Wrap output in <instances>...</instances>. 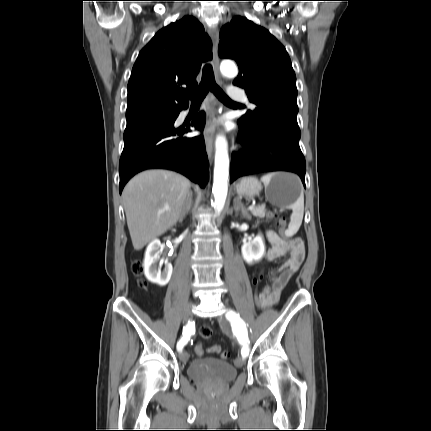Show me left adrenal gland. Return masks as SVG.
Listing matches in <instances>:
<instances>
[{
  "label": "left adrenal gland",
  "mask_w": 431,
  "mask_h": 431,
  "mask_svg": "<svg viewBox=\"0 0 431 431\" xmlns=\"http://www.w3.org/2000/svg\"><path fill=\"white\" fill-rule=\"evenodd\" d=\"M232 209H234L236 216L239 212H241L242 217L247 218V219H251L247 209L245 208V206L243 205V203L241 202V200L239 198L234 199Z\"/></svg>",
  "instance_id": "a2214340"
}]
</instances>
